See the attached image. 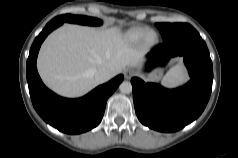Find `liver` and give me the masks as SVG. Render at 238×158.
<instances>
[{
	"label": "liver",
	"instance_id": "6515ba94",
	"mask_svg": "<svg viewBox=\"0 0 238 158\" xmlns=\"http://www.w3.org/2000/svg\"><path fill=\"white\" fill-rule=\"evenodd\" d=\"M143 54L117 27L97 29L66 24L45 40L37 67L48 87L61 95L75 97L99 84L94 69L106 68L112 78L126 66L140 67Z\"/></svg>",
	"mask_w": 238,
	"mask_h": 158
}]
</instances>
